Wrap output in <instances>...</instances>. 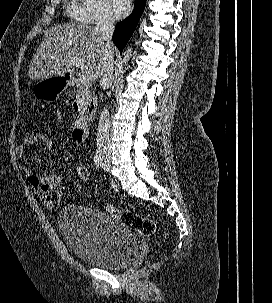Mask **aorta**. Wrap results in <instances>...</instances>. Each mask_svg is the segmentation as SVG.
<instances>
[{
    "mask_svg": "<svg viewBox=\"0 0 272 303\" xmlns=\"http://www.w3.org/2000/svg\"><path fill=\"white\" fill-rule=\"evenodd\" d=\"M132 51H133V48L131 45H128L126 48H125V51L123 53V60H122V63L124 65H127L129 60H130V57L132 55Z\"/></svg>",
    "mask_w": 272,
    "mask_h": 303,
    "instance_id": "aorta-1",
    "label": "aorta"
}]
</instances>
